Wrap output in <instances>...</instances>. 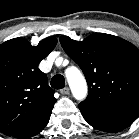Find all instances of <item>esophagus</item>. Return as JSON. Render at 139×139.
Listing matches in <instances>:
<instances>
[{
    "mask_svg": "<svg viewBox=\"0 0 139 139\" xmlns=\"http://www.w3.org/2000/svg\"><path fill=\"white\" fill-rule=\"evenodd\" d=\"M69 92H70V90L68 87H65V88L60 90V93L63 95H67V94H69Z\"/></svg>",
    "mask_w": 139,
    "mask_h": 139,
    "instance_id": "esophagus-1",
    "label": "esophagus"
}]
</instances>
